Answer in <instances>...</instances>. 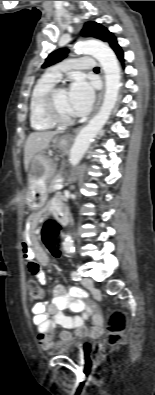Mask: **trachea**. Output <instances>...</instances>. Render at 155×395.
<instances>
[{"label": "trachea", "mask_w": 155, "mask_h": 395, "mask_svg": "<svg viewBox=\"0 0 155 395\" xmlns=\"http://www.w3.org/2000/svg\"><path fill=\"white\" fill-rule=\"evenodd\" d=\"M94 70H99V68H98V67H95Z\"/></svg>", "instance_id": "3493384b"}]
</instances>
